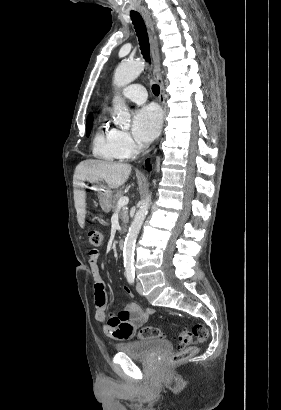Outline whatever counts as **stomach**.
Instances as JSON below:
<instances>
[{
	"instance_id": "0dacf381",
	"label": "stomach",
	"mask_w": 281,
	"mask_h": 410,
	"mask_svg": "<svg viewBox=\"0 0 281 410\" xmlns=\"http://www.w3.org/2000/svg\"><path fill=\"white\" fill-rule=\"evenodd\" d=\"M82 183L85 185V187L96 190L98 192V199L102 210L106 213L110 212L113 200L112 191L104 186L101 181L91 182L82 180Z\"/></svg>"
}]
</instances>
